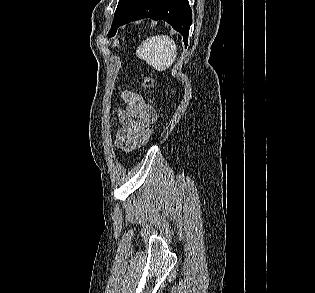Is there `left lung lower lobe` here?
<instances>
[{
    "label": "left lung lower lobe",
    "instance_id": "1",
    "mask_svg": "<svg viewBox=\"0 0 315 293\" xmlns=\"http://www.w3.org/2000/svg\"><path fill=\"white\" fill-rule=\"evenodd\" d=\"M142 18L165 20L183 35L187 45L192 11L188 0H139V2L119 21L120 25Z\"/></svg>",
    "mask_w": 315,
    "mask_h": 293
}]
</instances>
